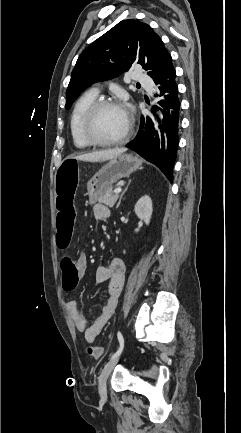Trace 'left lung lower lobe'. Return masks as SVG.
<instances>
[{
	"instance_id": "obj_1",
	"label": "left lung lower lobe",
	"mask_w": 241,
	"mask_h": 433,
	"mask_svg": "<svg viewBox=\"0 0 241 433\" xmlns=\"http://www.w3.org/2000/svg\"><path fill=\"white\" fill-rule=\"evenodd\" d=\"M176 71L171 64L162 77L154 81L157 105L151 107L153 116H142L137 136L126 147L135 150L155 164L170 180L178 148L180 101L175 81Z\"/></svg>"
}]
</instances>
